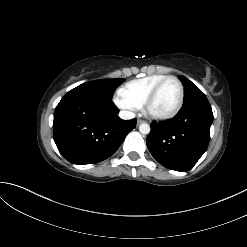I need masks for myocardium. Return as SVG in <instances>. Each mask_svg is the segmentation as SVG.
I'll list each match as a JSON object with an SVG mask.
<instances>
[{"mask_svg": "<svg viewBox=\"0 0 247 247\" xmlns=\"http://www.w3.org/2000/svg\"><path fill=\"white\" fill-rule=\"evenodd\" d=\"M168 80H174L177 82L178 86H179V101L177 106L174 108V110L168 114L165 115H156L150 112L149 107L150 104L152 103V101L154 100V98L156 97L157 93L159 92V90L161 89V87L164 85L165 82H167ZM184 86L181 82V80L179 78H177L176 76L173 75H169L166 76L165 78H163L162 80H160L155 86L154 88L150 91V93L147 95L144 103H143V110L144 113L146 115H148L149 117H151L152 119L155 120H159V121H165V120H170L172 118H174L182 109L183 104H184Z\"/></svg>", "mask_w": 247, "mask_h": 247, "instance_id": "f54148a6", "label": "myocardium"}]
</instances>
